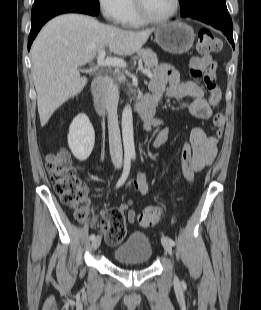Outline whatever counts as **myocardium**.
Instances as JSON below:
<instances>
[{
  "mask_svg": "<svg viewBox=\"0 0 261 310\" xmlns=\"http://www.w3.org/2000/svg\"><path fill=\"white\" fill-rule=\"evenodd\" d=\"M133 1H134L135 10H136V13L139 19L143 23H146V24H160V23H164V22H167L173 19L178 14L180 10V6H181L180 0H174V8L168 15L161 17V18H154V17H151L146 12L141 0H133Z\"/></svg>",
  "mask_w": 261,
  "mask_h": 310,
  "instance_id": "1",
  "label": "myocardium"
}]
</instances>
